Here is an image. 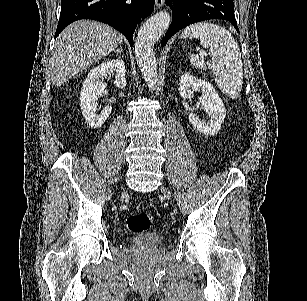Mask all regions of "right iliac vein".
Listing matches in <instances>:
<instances>
[{"instance_id": "63e3f726", "label": "right iliac vein", "mask_w": 307, "mask_h": 301, "mask_svg": "<svg viewBox=\"0 0 307 301\" xmlns=\"http://www.w3.org/2000/svg\"><path fill=\"white\" fill-rule=\"evenodd\" d=\"M127 192L123 191L121 197L124 198L126 196Z\"/></svg>"}]
</instances>
